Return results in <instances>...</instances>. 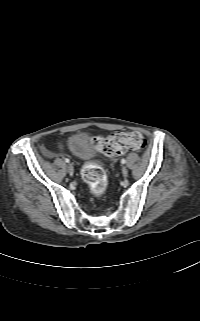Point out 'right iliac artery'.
<instances>
[{
  "instance_id": "obj_1",
  "label": "right iliac artery",
  "mask_w": 200,
  "mask_h": 321,
  "mask_svg": "<svg viewBox=\"0 0 200 321\" xmlns=\"http://www.w3.org/2000/svg\"><path fill=\"white\" fill-rule=\"evenodd\" d=\"M65 162H66V163H69V159L66 158V159H65Z\"/></svg>"
}]
</instances>
